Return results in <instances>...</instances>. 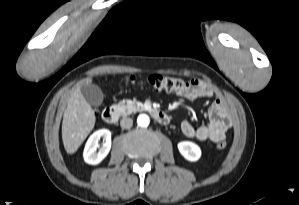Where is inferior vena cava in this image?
I'll return each instance as SVG.
<instances>
[{"label":"inferior vena cava","mask_w":299,"mask_h":205,"mask_svg":"<svg viewBox=\"0 0 299 205\" xmlns=\"http://www.w3.org/2000/svg\"><path fill=\"white\" fill-rule=\"evenodd\" d=\"M120 125L123 129H129L133 125V120L131 118L124 117L121 119Z\"/></svg>","instance_id":"inferior-vena-cava-1"}]
</instances>
